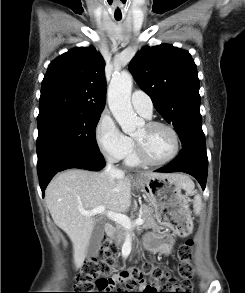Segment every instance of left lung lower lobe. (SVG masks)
Returning <instances> with one entry per match:
<instances>
[{
	"label": "left lung lower lobe",
	"instance_id": "left-lung-lower-lobe-1",
	"mask_svg": "<svg viewBox=\"0 0 245 293\" xmlns=\"http://www.w3.org/2000/svg\"><path fill=\"white\" fill-rule=\"evenodd\" d=\"M156 172H185L197 179L205 189L208 159L206 149L197 147H183L179 155L168 165L156 170Z\"/></svg>",
	"mask_w": 245,
	"mask_h": 293
}]
</instances>
